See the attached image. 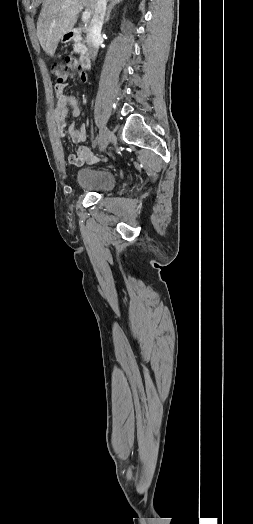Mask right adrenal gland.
I'll use <instances>...</instances> for the list:
<instances>
[{
	"label": "right adrenal gland",
	"mask_w": 253,
	"mask_h": 524,
	"mask_svg": "<svg viewBox=\"0 0 253 524\" xmlns=\"http://www.w3.org/2000/svg\"><path fill=\"white\" fill-rule=\"evenodd\" d=\"M121 1L122 0H112L111 1L110 5L108 7V10H107V14H106V18L104 20V23L108 22L112 9L114 8L115 5L119 4Z\"/></svg>",
	"instance_id": "right-adrenal-gland-1"
}]
</instances>
